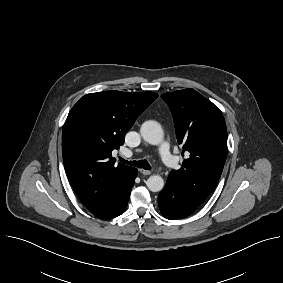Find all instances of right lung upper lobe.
Returning a JSON list of instances; mask_svg holds the SVG:
<instances>
[{
	"label": "right lung upper lobe",
	"instance_id": "right-lung-upper-lobe-1",
	"mask_svg": "<svg viewBox=\"0 0 283 283\" xmlns=\"http://www.w3.org/2000/svg\"><path fill=\"white\" fill-rule=\"evenodd\" d=\"M157 97L153 92L91 93L69 112L62 132L64 167L77 196L94 215L114 202L136 170L115 165L111 153Z\"/></svg>",
	"mask_w": 283,
	"mask_h": 283
}]
</instances>
